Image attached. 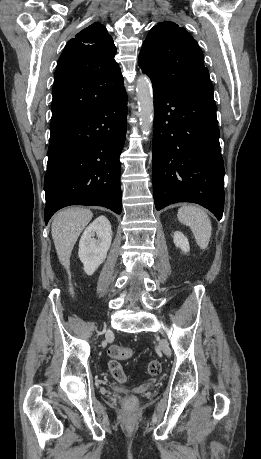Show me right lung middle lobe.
I'll return each instance as SVG.
<instances>
[{
    "label": "right lung middle lobe",
    "mask_w": 261,
    "mask_h": 459,
    "mask_svg": "<svg viewBox=\"0 0 261 459\" xmlns=\"http://www.w3.org/2000/svg\"><path fill=\"white\" fill-rule=\"evenodd\" d=\"M63 127H64V126H60V125L51 126V127H50L51 135L57 133V132L60 131Z\"/></svg>",
    "instance_id": "1"
}]
</instances>
